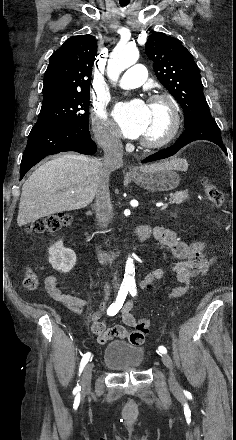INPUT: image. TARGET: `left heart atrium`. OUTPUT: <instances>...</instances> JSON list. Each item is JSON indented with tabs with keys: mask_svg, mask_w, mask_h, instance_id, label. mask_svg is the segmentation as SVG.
<instances>
[{
	"mask_svg": "<svg viewBox=\"0 0 236 440\" xmlns=\"http://www.w3.org/2000/svg\"><path fill=\"white\" fill-rule=\"evenodd\" d=\"M115 118L125 137H141L149 119V106L141 99L120 103L115 108Z\"/></svg>",
	"mask_w": 236,
	"mask_h": 440,
	"instance_id": "obj_1",
	"label": "left heart atrium"
}]
</instances>
